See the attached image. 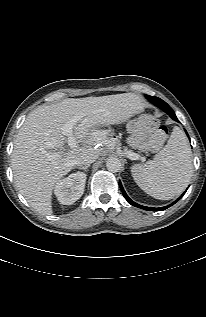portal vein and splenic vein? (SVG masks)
<instances>
[{
    "instance_id": "portal-vein-and-splenic-vein-1",
    "label": "portal vein and splenic vein",
    "mask_w": 206,
    "mask_h": 317,
    "mask_svg": "<svg viewBox=\"0 0 206 317\" xmlns=\"http://www.w3.org/2000/svg\"><path fill=\"white\" fill-rule=\"evenodd\" d=\"M77 121L78 119H72L61 128L62 134L67 136V143L70 148H75L78 143L75 137L73 136V126L75 125ZM57 156H58L57 154H53V155H50L49 158L54 159ZM128 157L132 160H137L139 159L140 156L136 153L130 152L128 153Z\"/></svg>"
}]
</instances>
